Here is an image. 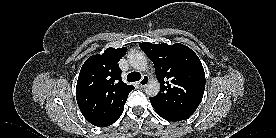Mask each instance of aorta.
<instances>
[{"label": "aorta", "mask_w": 276, "mask_h": 138, "mask_svg": "<svg viewBox=\"0 0 276 138\" xmlns=\"http://www.w3.org/2000/svg\"><path fill=\"white\" fill-rule=\"evenodd\" d=\"M129 64L137 70L145 71L148 67V60L146 55L141 51H131L128 56ZM146 94L154 97L160 91V84L156 79L149 81L145 88Z\"/></svg>", "instance_id": "aorta-1"}]
</instances>
